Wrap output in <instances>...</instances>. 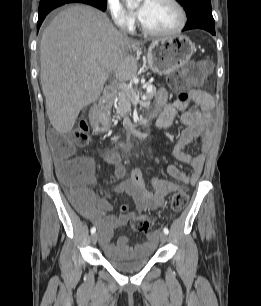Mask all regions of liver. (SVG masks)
Here are the masks:
<instances>
[{"label": "liver", "mask_w": 261, "mask_h": 306, "mask_svg": "<svg viewBox=\"0 0 261 306\" xmlns=\"http://www.w3.org/2000/svg\"><path fill=\"white\" fill-rule=\"evenodd\" d=\"M138 45L94 7L72 5L57 14L40 44L41 87L57 132H70L80 110L99 99L109 72L119 81L136 75L128 49Z\"/></svg>", "instance_id": "1"}]
</instances>
